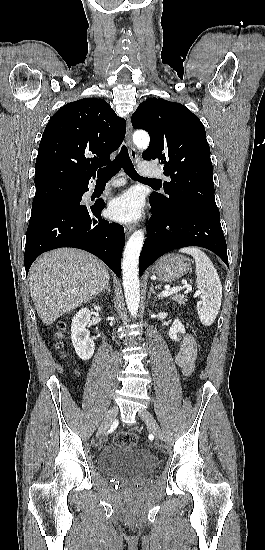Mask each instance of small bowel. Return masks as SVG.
I'll return each mask as SVG.
<instances>
[{
    "label": "small bowel",
    "mask_w": 265,
    "mask_h": 550,
    "mask_svg": "<svg viewBox=\"0 0 265 550\" xmlns=\"http://www.w3.org/2000/svg\"><path fill=\"white\" fill-rule=\"evenodd\" d=\"M197 357V346L192 335L186 334L181 341L180 351L175 355L176 364L184 375H189L194 368Z\"/></svg>",
    "instance_id": "obj_1"
}]
</instances>
